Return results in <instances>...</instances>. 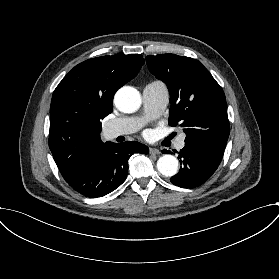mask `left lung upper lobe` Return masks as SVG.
<instances>
[{
    "instance_id": "5c2ea615",
    "label": "left lung upper lobe",
    "mask_w": 279,
    "mask_h": 279,
    "mask_svg": "<svg viewBox=\"0 0 279 279\" xmlns=\"http://www.w3.org/2000/svg\"><path fill=\"white\" fill-rule=\"evenodd\" d=\"M146 61L170 91L169 125L184 128L185 143L224 149L230 132L226 99L210 72L198 60L175 54L149 55Z\"/></svg>"
}]
</instances>
